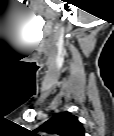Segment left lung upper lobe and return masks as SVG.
<instances>
[{"mask_svg":"<svg viewBox=\"0 0 114 136\" xmlns=\"http://www.w3.org/2000/svg\"><path fill=\"white\" fill-rule=\"evenodd\" d=\"M48 133H55L58 136H83L84 128L77 116L69 113H59L46 121L40 128Z\"/></svg>","mask_w":114,"mask_h":136,"instance_id":"left-lung-upper-lobe-1","label":"left lung upper lobe"}]
</instances>
